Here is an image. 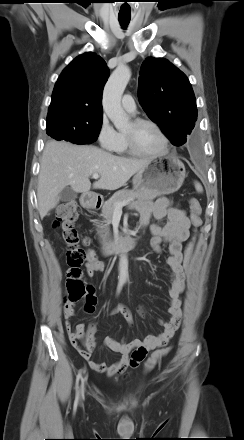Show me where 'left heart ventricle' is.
I'll use <instances>...</instances> for the list:
<instances>
[{
    "instance_id": "obj_1",
    "label": "left heart ventricle",
    "mask_w": 244,
    "mask_h": 440,
    "mask_svg": "<svg viewBox=\"0 0 244 440\" xmlns=\"http://www.w3.org/2000/svg\"><path fill=\"white\" fill-rule=\"evenodd\" d=\"M125 133L132 134L138 146L145 152L157 153L163 148V138L151 125L134 126L131 122Z\"/></svg>"
}]
</instances>
